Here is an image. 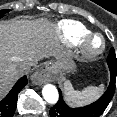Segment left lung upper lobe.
I'll list each match as a JSON object with an SVG mask.
<instances>
[{"mask_svg": "<svg viewBox=\"0 0 117 117\" xmlns=\"http://www.w3.org/2000/svg\"><path fill=\"white\" fill-rule=\"evenodd\" d=\"M107 62H108L109 66L110 65H116L117 66V59H116L114 48H112L110 50V53H109L108 58H107Z\"/></svg>", "mask_w": 117, "mask_h": 117, "instance_id": "1", "label": "left lung upper lobe"}]
</instances>
